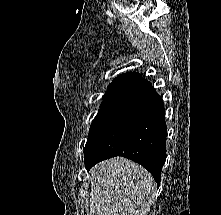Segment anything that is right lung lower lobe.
Instances as JSON below:
<instances>
[{
  "label": "right lung lower lobe",
  "instance_id": "right-lung-lower-lobe-1",
  "mask_svg": "<svg viewBox=\"0 0 221 215\" xmlns=\"http://www.w3.org/2000/svg\"><path fill=\"white\" fill-rule=\"evenodd\" d=\"M165 109L152 88L131 101L92 153L84 157L89 170L96 163L115 156L131 159L145 167L160 182L166 160Z\"/></svg>",
  "mask_w": 221,
  "mask_h": 215
}]
</instances>
